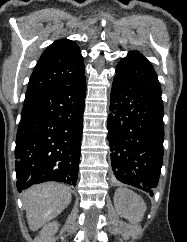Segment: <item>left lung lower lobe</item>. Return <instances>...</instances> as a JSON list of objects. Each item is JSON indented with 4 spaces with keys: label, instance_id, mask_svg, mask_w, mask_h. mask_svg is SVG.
I'll return each mask as SVG.
<instances>
[{
    "label": "left lung lower lobe",
    "instance_id": "obj_1",
    "mask_svg": "<svg viewBox=\"0 0 187 242\" xmlns=\"http://www.w3.org/2000/svg\"><path fill=\"white\" fill-rule=\"evenodd\" d=\"M110 103L107 129L114 175L153 195L163 162L161 94L116 74Z\"/></svg>",
    "mask_w": 187,
    "mask_h": 242
}]
</instances>
